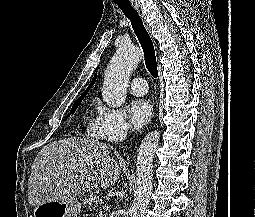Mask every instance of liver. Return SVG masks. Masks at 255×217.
I'll use <instances>...</instances> for the list:
<instances>
[{"label": "liver", "mask_w": 255, "mask_h": 217, "mask_svg": "<svg viewBox=\"0 0 255 217\" xmlns=\"http://www.w3.org/2000/svg\"><path fill=\"white\" fill-rule=\"evenodd\" d=\"M103 142L87 138H67L44 146L34 159L28 181V201L32 206L74 199L101 185H114L121 173Z\"/></svg>", "instance_id": "6515ba94"}]
</instances>
